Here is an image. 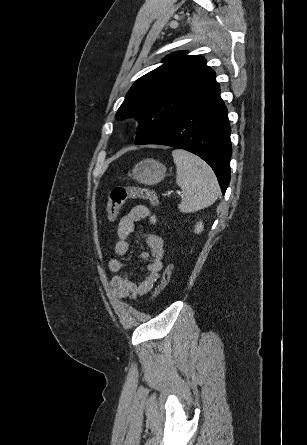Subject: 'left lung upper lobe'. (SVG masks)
Wrapping results in <instances>:
<instances>
[{"label": "left lung upper lobe", "instance_id": "left-lung-upper-lobe-1", "mask_svg": "<svg viewBox=\"0 0 307 445\" xmlns=\"http://www.w3.org/2000/svg\"><path fill=\"white\" fill-rule=\"evenodd\" d=\"M163 61L132 85L115 115L117 120L137 117L136 144L219 88L215 72L199 55L175 52Z\"/></svg>", "mask_w": 307, "mask_h": 445}]
</instances>
